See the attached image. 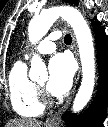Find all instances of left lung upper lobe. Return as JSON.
<instances>
[{
    "label": "left lung upper lobe",
    "mask_w": 108,
    "mask_h": 127,
    "mask_svg": "<svg viewBox=\"0 0 108 127\" xmlns=\"http://www.w3.org/2000/svg\"><path fill=\"white\" fill-rule=\"evenodd\" d=\"M68 3H72V4H77L78 1L77 0H66Z\"/></svg>",
    "instance_id": "5c2ea615"
}]
</instances>
